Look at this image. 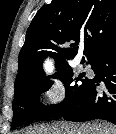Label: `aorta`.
Wrapping results in <instances>:
<instances>
[{"instance_id":"1","label":"aorta","mask_w":116,"mask_h":134,"mask_svg":"<svg viewBox=\"0 0 116 134\" xmlns=\"http://www.w3.org/2000/svg\"><path fill=\"white\" fill-rule=\"evenodd\" d=\"M46 69L49 70L50 69V66L49 65H46Z\"/></svg>"}]
</instances>
